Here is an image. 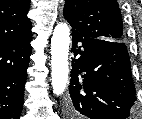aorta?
<instances>
[{
	"label": "aorta",
	"mask_w": 142,
	"mask_h": 119,
	"mask_svg": "<svg viewBox=\"0 0 142 119\" xmlns=\"http://www.w3.org/2000/svg\"><path fill=\"white\" fill-rule=\"evenodd\" d=\"M70 29L65 23L58 24L51 38V75L53 93L63 94L68 81Z\"/></svg>",
	"instance_id": "762f6f07"
}]
</instances>
